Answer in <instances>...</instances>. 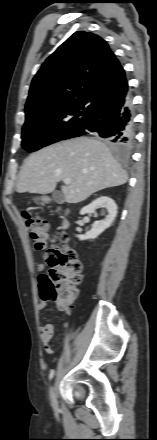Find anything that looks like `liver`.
<instances>
[{
    "instance_id": "obj_1",
    "label": "liver",
    "mask_w": 157,
    "mask_h": 440,
    "mask_svg": "<svg viewBox=\"0 0 157 440\" xmlns=\"http://www.w3.org/2000/svg\"><path fill=\"white\" fill-rule=\"evenodd\" d=\"M62 186L67 203H79L93 193L127 182V173L100 140L78 137L61 141L29 155L20 170L17 192L48 194Z\"/></svg>"
}]
</instances>
